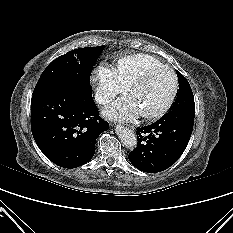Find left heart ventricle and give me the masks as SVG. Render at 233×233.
I'll return each instance as SVG.
<instances>
[{"instance_id": "1", "label": "left heart ventricle", "mask_w": 233, "mask_h": 233, "mask_svg": "<svg viewBox=\"0 0 233 233\" xmlns=\"http://www.w3.org/2000/svg\"><path fill=\"white\" fill-rule=\"evenodd\" d=\"M173 85L170 72L159 70L152 73L143 83L136 86L131 95L141 113H150L160 108L167 100Z\"/></svg>"}]
</instances>
